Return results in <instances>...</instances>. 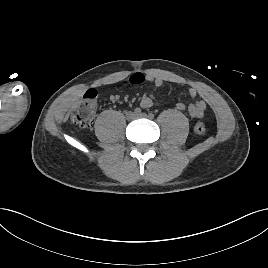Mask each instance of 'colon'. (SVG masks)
Masks as SVG:
<instances>
[{
  "mask_svg": "<svg viewBox=\"0 0 268 268\" xmlns=\"http://www.w3.org/2000/svg\"><path fill=\"white\" fill-rule=\"evenodd\" d=\"M97 107V92L94 89L86 91L79 105L70 112V120L79 128L87 129L92 125ZM194 132L197 135H203L206 132L204 123L198 122L194 126Z\"/></svg>",
  "mask_w": 268,
  "mask_h": 268,
  "instance_id": "obj_1",
  "label": "colon"
}]
</instances>
